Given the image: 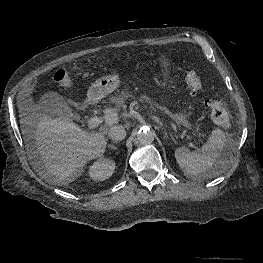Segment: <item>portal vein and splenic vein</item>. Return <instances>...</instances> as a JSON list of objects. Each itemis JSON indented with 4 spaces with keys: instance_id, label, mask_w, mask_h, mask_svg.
Instances as JSON below:
<instances>
[{
    "instance_id": "1",
    "label": "portal vein and splenic vein",
    "mask_w": 263,
    "mask_h": 263,
    "mask_svg": "<svg viewBox=\"0 0 263 263\" xmlns=\"http://www.w3.org/2000/svg\"><path fill=\"white\" fill-rule=\"evenodd\" d=\"M103 118L102 117H91L88 121V126L89 128H95L98 127L101 123H103ZM190 147L196 148V146L192 143H189Z\"/></svg>"
}]
</instances>
